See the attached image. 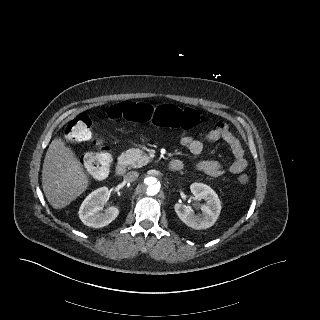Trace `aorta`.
Returning a JSON list of instances; mask_svg holds the SVG:
<instances>
[{"mask_svg":"<svg viewBox=\"0 0 320 320\" xmlns=\"http://www.w3.org/2000/svg\"><path fill=\"white\" fill-rule=\"evenodd\" d=\"M142 186L149 196L158 194L161 188L159 181L153 176H145L142 179Z\"/></svg>","mask_w":320,"mask_h":320,"instance_id":"obj_1","label":"aorta"}]
</instances>
